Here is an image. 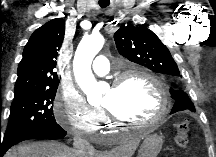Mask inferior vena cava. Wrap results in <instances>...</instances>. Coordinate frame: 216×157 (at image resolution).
<instances>
[{"instance_id":"inferior-vena-cava-1","label":"inferior vena cava","mask_w":216,"mask_h":157,"mask_svg":"<svg viewBox=\"0 0 216 157\" xmlns=\"http://www.w3.org/2000/svg\"><path fill=\"white\" fill-rule=\"evenodd\" d=\"M74 151L78 157H89L91 152L94 151L93 146L83 139L79 133H76L73 138Z\"/></svg>"}]
</instances>
